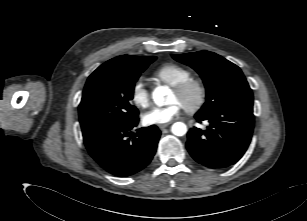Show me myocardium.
Instances as JSON below:
<instances>
[{"label": "myocardium", "mask_w": 307, "mask_h": 221, "mask_svg": "<svg viewBox=\"0 0 307 221\" xmlns=\"http://www.w3.org/2000/svg\"><path fill=\"white\" fill-rule=\"evenodd\" d=\"M173 91L181 96H186L192 92L196 94L195 101L191 104H183L184 109L190 113L195 114L199 112L206 104L208 97V90L206 84L197 78L190 77L173 86Z\"/></svg>", "instance_id": "1"}]
</instances>
